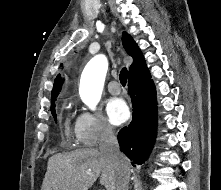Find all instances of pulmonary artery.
Instances as JSON below:
<instances>
[{
	"instance_id": "1",
	"label": "pulmonary artery",
	"mask_w": 221,
	"mask_h": 190,
	"mask_svg": "<svg viewBox=\"0 0 221 190\" xmlns=\"http://www.w3.org/2000/svg\"><path fill=\"white\" fill-rule=\"evenodd\" d=\"M107 88H108V91L113 95H117L121 92V87L119 83L116 81L109 82L107 85Z\"/></svg>"
}]
</instances>
